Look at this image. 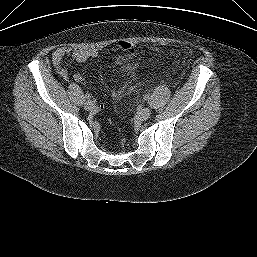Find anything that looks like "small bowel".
I'll return each mask as SVG.
<instances>
[{
    "label": "small bowel",
    "mask_w": 257,
    "mask_h": 257,
    "mask_svg": "<svg viewBox=\"0 0 257 257\" xmlns=\"http://www.w3.org/2000/svg\"><path fill=\"white\" fill-rule=\"evenodd\" d=\"M66 56H69L71 61L81 63L96 58L98 52L95 49L72 50L66 47L55 49L52 53V62L57 72L62 76L66 75L65 70L61 67L62 61ZM116 62L120 69L127 73L131 78L135 76L138 65L132 61L129 56H120ZM73 80L80 85L86 83L85 78L79 73L73 75Z\"/></svg>",
    "instance_id": "1"
}]
</instances>
